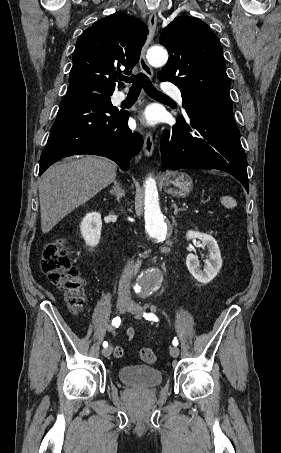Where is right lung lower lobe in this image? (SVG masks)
<instances>
[{
  "mask_svg": "<svg viewBox=\"0 0 281 453\" xmlns=\"http://www.w3.org/2000/svg\"><path fill=\"white\" fill-rule=\"evenodd\" d=\"M128 112L119 111L107 95L65 96L40 158L39 175L56 161L91 154L115 161L128 170L143 141L128 127Z\"/></svg>",
  "mask_w": 281,
  "mask_h": 453,
  "instance_id": "98d812e1",
  "label": "right lung lower lobe"
}]
</instances>
